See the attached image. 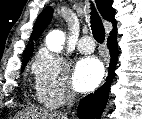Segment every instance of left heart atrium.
<instances>
[{
    "instance_id": "obj_1",
    "label": "left heart atrium",
    "mask_w": 142,
    "mask_h": 119,
    "mask_svg": "<svg viewBox=\"0 0 142 119\" xmlns=\"http://www.w3.org/2000/svg\"><path fill=\"white\" fill-rule=\"evenodd\" d=\"M104 77L102 63L96 58L81 59L74 70L73 83L81 92L91 91L96 88Z\"/></svg>"
}]
</instances>
